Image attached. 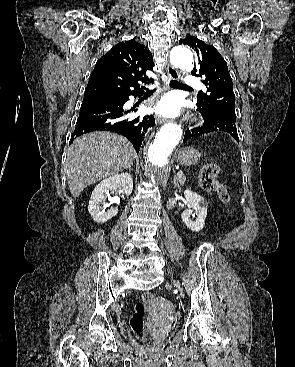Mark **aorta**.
Instances as JSON below:
<instances>
[{"mask_svg":"<svg viewBox=\"0 0 295 367\" xmlns=\"http://www.w3.org/2000/svg\"><path fill=\"white\" fill-rule=\"evenodd\" d=\"M171 62L176 67L190 71L193 68V55L184 47H176L171 51ZM181 126L176 123L165 124L156 134L154 142L147 152L148 166L151 175L163 169L168 163V156L182 139Z\"/></svg>","mask_w":295,"mask_h":367,"instance_id":"1","label":"aorta"}]
</instances>
